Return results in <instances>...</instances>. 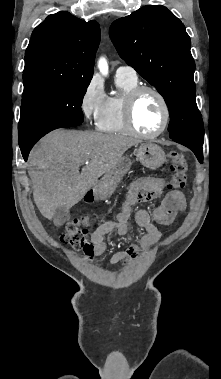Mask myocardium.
<instances>
[{
	"instance_id": "1",
	"label": "myocardium",
	"mask_w": 221,
	"mask_h": 379,
	"mask_svg": "<svg viewBox=\"0 0 221 379\" xmlns=\"http://www.w3.org/2000/svg\"><path fill=\"white\" fill-rule=\"evenodd\" d=\"M146 92H150L157 97L163 113L161 126L153 133H143L139 131L134 122V107L136 101L143 93ZM123 115L128 132L143 139H154L160 136L167 129L170 121V110L166 98L157 88L148 85H138L126 94L124 99Z\"/></svg>"
}]
</instances>
